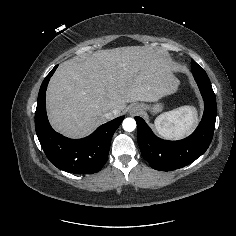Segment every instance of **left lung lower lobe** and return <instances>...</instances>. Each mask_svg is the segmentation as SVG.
<instances>
[{
    "label": "left lung lower lobe",
    "mask_w": 236,
    "mask_h": 236,
    "mask_svg": "<svg viewBox=\"0 0 236 236\" xmlns=\"http://www.w3.org/2000/svg\"><path fill=\"white\" fill-rule=\"evenodd\" d=\"M204 100V114L197 129L187 138L167 141L156 137L141 117H135L138 145L143 158L160 171L182 168L200 157L209 147L214 133L217 105L206 73H193Z\"/></svg>",
    "instance_id": "obj_1"
}]
</instances>
